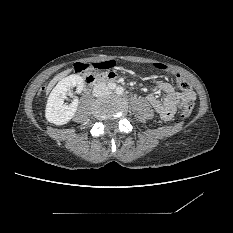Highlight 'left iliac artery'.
<instances>
[{
  "mask_svg": "<svg viewBox=\"0 0 233 233\" xmlns=\"http://www.w3.org/2000/svg\"><path fill=\"white\" fill-rule=\"evenodd\" d=\"M116 93H117L118 95H123V94H124V88L121 87V86L117 87V88H116Z\"/></svg>",
  "mask_w": 233,
  "mask_h": 233,
  "instance_id": "left-iliac-artery-1",
  "label": "left iliac artery"
}]
</instances>
